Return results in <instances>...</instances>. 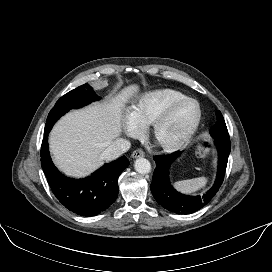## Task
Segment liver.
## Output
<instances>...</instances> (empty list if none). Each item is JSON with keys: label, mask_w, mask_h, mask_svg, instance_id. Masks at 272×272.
I'll return each instance as SVG.
<instances>
[{"label": "liver", "mask_w": 272, "mask_h": 272, "mask_svg": "<svg viewBox=\"0 0 272 272\" xmlns=\"http://www.w3.org/2000/svg\"><path fill=\"white\" fill-rule=\"evenodd\" d=\"M137 89L131 85L114 98L69 112L56 123L49 145L61 171L82 177L101 166L103 152L121 134L124 103Z\"/></svg>", "instance_id": "6515ba94"}]
</instances>
